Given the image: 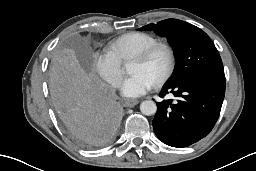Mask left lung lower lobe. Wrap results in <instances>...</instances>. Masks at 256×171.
Wrapping results in <instances>:
<instances>
[{
    "label": "left lung lower lobe",
    "instance_id": "0a47b994",
    "mask_svg": "<svg viewBox=\"0 0 256 171\" xmlns=\"http://www.w3.org/2000/svg\"><path fill=\"white\" fill-rule=\"evenodd\" d=\"M172 93L174 100L157 102L153 120L156 136L172 147H186L205 137L214 127L225 95L224 73L189 75L165 84L160 97Z\"/></svg>",
    "mask_w": 256,
    "mask_h": 171
}]
</instances>
